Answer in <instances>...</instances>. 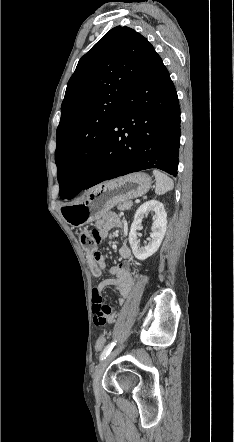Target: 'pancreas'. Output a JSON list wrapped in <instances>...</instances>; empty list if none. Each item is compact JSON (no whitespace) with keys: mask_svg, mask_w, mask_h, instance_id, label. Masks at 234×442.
<instances>
[{"mask_svg":"<svg viewBox=\"0 0 234 442\" xmlns=\"http://www.w3.org/2000/svg\"><path fill=\"white\" fill-rule=\"evenodd\" d=\"M133 205L131 200L124 201L123 203L118 204L117 208L120 211L128 210Z\"/></svg>","mask_w":234,"mask_h":442,"instance_id":"pancreas-1","label":"pancreas"}]
</instances>
